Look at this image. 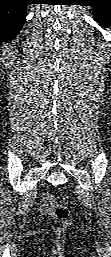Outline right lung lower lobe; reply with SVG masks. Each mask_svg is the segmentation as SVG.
Returning a JSON list of instances; mask_svg holds the SVG:
<instances>
[{"instance_id":"obj_1","label":"right lung lower lobe","mask_w":111,"mask_h":257,"mask_svg":"<svg viewBox=\"0 0 111 257\" xmlns=\"http://www.w3.org/2000/svg\"><path fill=\"white\" fill-rule=\"evenodd\" d=\"M28 0H0V41L13 39L21 30Z\"/></svg>"}]
</instances>
